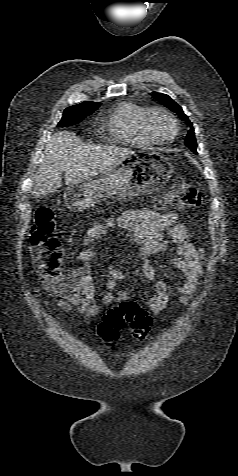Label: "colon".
<instances>
[{
  "label": "colon",
  "instance_id": "5ec220e1",
  "mask_svg": "<svg viewBox=\"0 0 238 476\" xmlns=\"http://www.w3.org/2000/svg\"><path fill=\"white\" fill-rule=\"evenodd\" d=\"M169 204L188 209L199 207L203 202L201 191L184 178H176L167 194ZM30 244L35 268L39 277L50 290H65L77 285L79 278L64 270L63 251L53 212L46 207L36 210L30 234ZM151 318L135 302H122L110 309L103 317L99 331L107 341L118 339L125 326L133 330L136 340H143L150 331Z\"/></svg>",
  "mask_w": 238,
  "mask_h": 476
}]
</instances>
